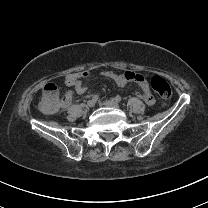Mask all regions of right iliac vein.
I'll return each mask as SVG.
<instances>
[{
    "mask_svg": "<svg viewBox=\"0 0 208 208\" xmlns=\"http://www.w3.org/2000/svg\"><path fill=\"white\" fill-rule=\"evenodd\" d=\"M87 106H88V107H94V106H95V101H94V100H89V101L87 102Z\"/></svg>",
    "mask_w": 208,
    "mask_h": 208,
    "instance_id": "1",
    "label": "right iliac vein"
}]
</instances>
